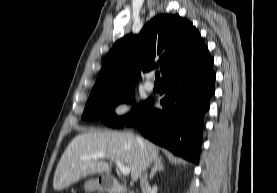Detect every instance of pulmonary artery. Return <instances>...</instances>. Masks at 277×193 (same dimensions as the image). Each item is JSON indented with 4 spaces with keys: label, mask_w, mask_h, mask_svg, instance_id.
<instances>
[{
    "label": "pulmonary artery",
    "mask_w": 277,
    "mask_h": 193,
    "mask_svg": "<svg viewBox=\"0 0 277 193\" xmlns=\"http://www.w3.org/2000/svg\"><path fill=\"white\" fill-rule=\"evenodd\" d=\"M145 89L152 91L154 89V82L152 81V76L150 75L148 80L145 83Z\"/></svg>",
    "instance_id": "pulmonary-artery-1"
}]
</instances>
